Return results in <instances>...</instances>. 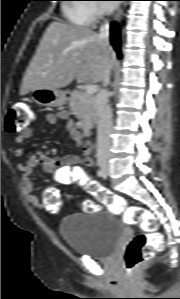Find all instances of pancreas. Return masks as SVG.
Returning a JSON list of instances; mask_svg holds the SVG:
<instances>
[{"label":"pancreas","instance_id":"1","mask_svg":"<svg viewBox=\"0 0 180 299\" xmlns=\"http://www.w3.org/2000/svg\"><path fill=\"white\" fill-rule=\"evenodd\" d=\"M69 107L76 113V116L79 119V127L82 129H89L92 127L96 119L94 97L92 95L75 90L72 93Z\"/></svg>","mask_w":180,"mask_h":299}]
</instances>
